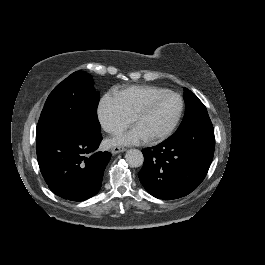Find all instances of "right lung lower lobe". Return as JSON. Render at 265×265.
Returning <instances> with one entry per match:
<instances>
[{
    "mask_svg": "<svg viewBox=\"0 0 265 265\" xmlns=\"http://www.w3.org/2000/svg\"><path fill=\"white\" fill-rule=\"evenodd\" d=\"M101 140L100 132L71 126L54 127L36 137L40 171L54 194L83 201L99 191L111 157L96 151Z\"/></svg>",
    "mask_w": 265,
    "mask_h": 265,
    "instance_id": "obj_1",
    "label": "right lung lower lobe"
}]
</instances>
